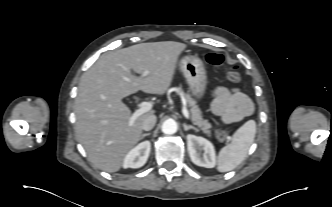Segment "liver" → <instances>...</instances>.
Masks as SVG:
<instances>
[{
  "instance_id": "obj_1",
  "label": "liver",
  "mask_w": 332,
  "mask_h": 207,
  "mask_svg": "<svg viewBox=\"0 0 332 207\" xmlns=\"http://www.w3.org/2000/svg\"><path fill=\"white\" fill-rule=\"evenodd\" d=\"M185 48V44L174 41L136 44L101 55L81 76L74 107L75 129L97 168L119 171L128 151L141 139L143 121L154 114L143 113L129 126L132 114L122 98L139 90L164 94ZM131 70L140 77L132 75Z\"/></svg>"
}]
</instances>
